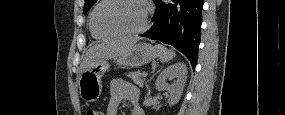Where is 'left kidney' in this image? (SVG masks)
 I'll return each mask as SVG.
<instances>
[{
	"label": "left kidney",
	"mask_w": 285,
	"mask_h": 115,
	"mask_svg": "<svg viewBox=\"0 0 285 115\" xmlns=\"http://www.w3.org/2000/svg\"><path fill=\"white\" fill-rule=\"evenodd\" d=\"M171 84L167 83V79L173 80ZM187 79V67L184 63L178 62L165 68L156 80V88L159 91L166 90L170 93L168 103L173 106L178 103L183 93L185 82Z\"/></svg>",
	"instance_id": "1"
}]
</instances>
